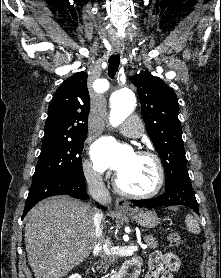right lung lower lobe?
Instances as JSON below:
<instances>
[{
  "label": "right lung lower lobe",
  "instance_id": "right-lung-lower-lobe-1",
  "mask_svg": "<svg viewBox=\"0 0 221 278\" xmlns=\"http://www.w3.org/2000/svg\"><path fill=\"white\" fill-rule=\"evenodd\" d=\"M70 195L74 198L86 200L88 198L86 192L85 177L77 178L73 176H58L51 178L29 190L23 217L27 212L39 201L54 195ZM106 209L102 205L98 206Z\"/></svg>",
  "mask_w": 221,
  "mask_h": 278
}]
</instances>
